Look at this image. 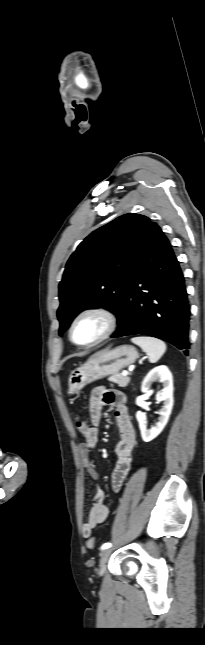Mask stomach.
Segmentation results:
<instances>
[{"label": "stomach", "instance_id": "0dacf381", "mask_svg": "<svg viewBox=\"0 0 205 645\" xmlns=\"http://www.w3.org/2000/svg\"><path fill=\"white\" fill-rule=\"evenodd\" d=\"M138 357L131 345H121L114 349H104L94 354L82 367L70 372L68 393L76 394L87 384L119 373L133 364Z\"/></svg>", "mask_w": 205, "mask_h": 645}]
</instances>
